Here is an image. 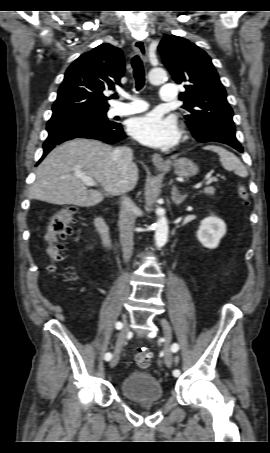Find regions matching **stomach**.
<instances>
[{
  "label": "stomach",
  "mask_w": 270,
  "mask_h": 453,
  "mask_svg": "<svg viewBox=\"0 0 270 453\" xmlns=\"http://www.w3.org/2000/svg\"><path fill=\"white\" fill-rule=\"evenodd\" d=\"M174 173L177 176L189 178L196 175L199 171L198 166L188 158H178L173 163ZM163 171L164 169L160 168Z\"/></svg>",
  "instance_id": "obj_1"
}]
</instances>
